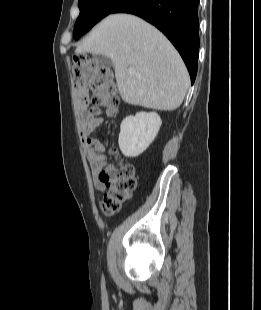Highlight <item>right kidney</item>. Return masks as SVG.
<instances>
[{
	"mask_svg": "<svg viewBox=\"0 0 261 310\" xmlns=\"http://www.w3.org/2000/svg\"><path fill=\"white\" fill-rule=\"evenodd\" d=\"M161 123L156 112H139L123 119L118 139L123 155L137 157L142 154L155 139Z\"/></svg>",
	"mask_w": 261,
	"mask_h": 310,
	"instance_id": "1",
	"label": "right kidney"
}]
</instances>
